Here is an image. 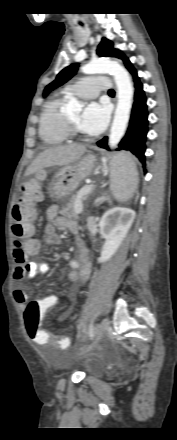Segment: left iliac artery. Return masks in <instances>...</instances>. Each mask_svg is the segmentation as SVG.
I'll return each mask as SVG.
<instances>
[{"mask_svg": "<svg viewBox=\"0 0 177 440\" xmlns=\"http://www.w3.org/2000/svg\"><path fill=\"white\" fill-rule=\"evenodd\" d=\"M98 314H96L95 316H97ZM89 337L90 339L94 338V327H93V322L90 324L89 326Z\"/></svg>", "mask_w": 177, "mask_h": 440, "instance_id": "44dca946", "label": "left iliac artery"}]
</instances>
